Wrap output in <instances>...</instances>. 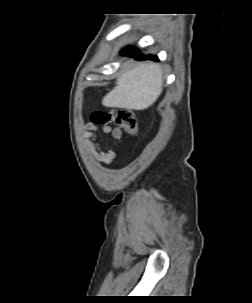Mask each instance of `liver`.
<instances>
[{"label": "liver", "instance_id": "obj_1", "mask_svg": "<svg viewBox=\"0 0 252 303\" xmlns=\"http://www.w3.org/2000/svg\"><path fill=\"white\" fill-rule=\"evenodd\" d=\"M127 66V62L124 63ZM163 90L162 69L157 63H143L121 74L116 86L103 98L106 107L144 110Z\"/></svg>", "mask_w": 252, "mask_h": 303}]
</instances>
